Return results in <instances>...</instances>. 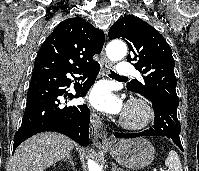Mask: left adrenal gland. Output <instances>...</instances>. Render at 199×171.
Wrapping results in <instances>:
<instances>
[{"label": "left adrenal gland", "instance_id": "a2214340", "mask_svg": "<svg viewBox=\"0 0 199 171\" xmlns=\"http://www.w3.org/2000/svg\"><path fill=\"white\" fill-rule=\"evenodd\" d=\"M112 171H121V169L118 168V167L116 166V164L113 162V163H112Z\"/></svg>", "mask_w": 199, "mask_h": 171}]
</instances>
